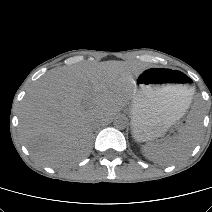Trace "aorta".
Masks as SVG:
<instances>
[{
  "label": "aorta",
  "mask_w": 212,
  "mask_h": 212,
  "mask_svg": "<svg viewBox=\"0 0 212 212\" xmlns=\"http://www.w3.org/2000/svg\"><path fill=\"white\" fill-rule=\"evenodd\" d=\"M113 125L117 129H125L128 125V119L125 116L119 115L114 119Z\"/></svg>",
  "instance_id": "obj_1"
}]
</instances>
